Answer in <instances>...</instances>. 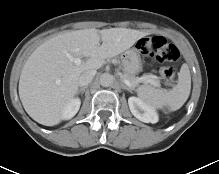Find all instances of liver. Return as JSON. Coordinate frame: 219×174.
<instances>
[{
	"label": "liver",
	"mask_w": 219,
	"mask_h": 174,
	"mask_svg": "<svg viewBox=\"0 0 219 174\" xmlns=\"http://www.w3.org/2000/svg\"><path fill=\"white\" fill-rule=\"evenodd\" d=\"M145 35L127 28H91L48 39L29 56L20 75L19 96L25 111L42 125L59 124L64 108L78 92L80 75L101 68L105 59L119 55ZM67 53L87 60L76 64Z\"/></svg>",
	"instance_id": "1"
}]
</instances>
